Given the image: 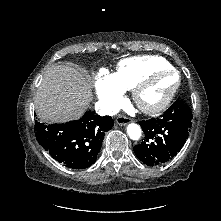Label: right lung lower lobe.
<instances>
[{
	"instance_id": "1",
	"label": "right lung lower lobe",
	"mask_w": 221,
	"mask_h": 221,
	"mask_svg": "<svg viewBox=\"0 0 221 221\" xmlns=\"http://www.w3.org/2000/svg\"><path fill=\"white\" fill-rule=\"evenodd\" d=\"M114 121L110 116L100 117L92 112L65 124H35L36 139L49 154L71 169H85L95 163L105 132Z\"/></svg>"
}]
</instances>
